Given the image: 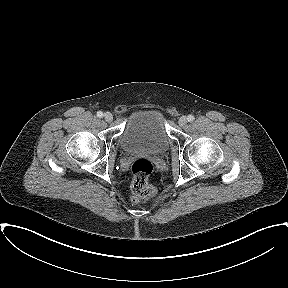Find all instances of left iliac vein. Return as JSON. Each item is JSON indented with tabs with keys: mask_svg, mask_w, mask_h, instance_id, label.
<instances>
[{
	"mask_svg": "<svg viewBox=\"0 0 288 288\" xmlns=\"http://www.w3.org/2000/svg\"><path fill=\"white\" fill-rule=\"evenodd\" d=\"M178 123L182 127L185 126L187 124V117L186 116L180 117Z\"/></svg>",
	"mask_w": 288,
	"mask_h": 288,
	"instance_id": "left-iliac-vein-1",
	"label": "left iliac vein"
}]
</instances>
